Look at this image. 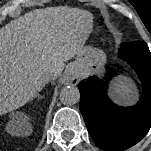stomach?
Returning a JSON list of instances; mask_svg holds the SVG:
<instances>
[{
  "label": "stomach",
  "mask_w": 151,
  "mask_h": 151,
  "mask_svg": "<svg viewBox=\"0 0 151 151\" xmlns=\"http://www.w3.org/2000/svg\"><path fill=\"white\" fill-rule=\"evenodd\" d=\"M105 62L106 55L102 50L87 46L78 55L74 64V70L81 75L91 73L100 75L104 72Z\"/></svg>",
  "instance_id": "0dacf381"
}]
</instances>
